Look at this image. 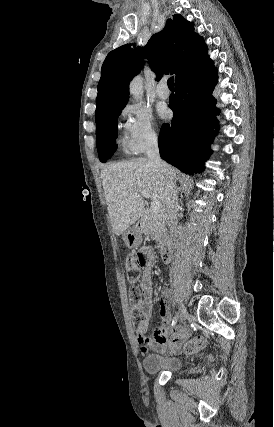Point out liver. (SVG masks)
<instances>
[{
	"label": "liver",
	"instance_id": "6515ba94",
	"mask_svg": "<svg viewBox=\"0 0 274 427\" xmlns=\"http://www.w3.org/2000/svg\"><path fill=\"white\" fill-rule=\"evenodd\" d=\"M177 172L175 168L160 172L158 162L148 158L106 164L101 180L114 233L121 235L143 214L145 202L139 190L148 192L153 202L164 204L165 190Z\"/></svg>",
	"mask_w": 274,
	"mask_h": 427
}]
</instances>
